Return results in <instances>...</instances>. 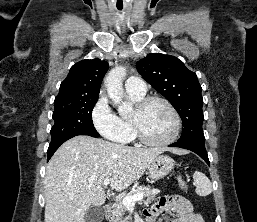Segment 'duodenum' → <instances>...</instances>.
I'll use <instances>...</instances> for the list:
<instances>
[{
  "mask_svg": "<svg viewBox=\"0 0 257 222\" xmlns=\"http://www.w3.org/2000/svg\"><path fill=\"white\" fill-rule=\"evenodd\" d=\"M103 211L105 213V216L109 217L111 215L112 208L110 205L107 204L103 206Z\"/></svg>",
  "mask_w": 257,
  "mask_h": 222,
  "instance_id": "duodenum-1",
  "label": "duodenum"
}]
</instances>
